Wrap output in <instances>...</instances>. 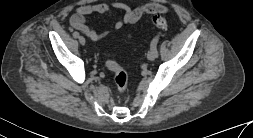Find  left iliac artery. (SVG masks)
Returning a JSON list of instances; mask_svg holds the SVG:
<instances>
[{
	"instance_id": "left-iliac-artery-1",
	"label": "left iliac artery",
	"mask_w": 253,
	"mask_h": 138,
	"mask_svg": "<svg viewBox=\"0 0 253 138\" xmlns=\"http://www.w3.org/2000/svg\"><path fill=\"white\" fill-rule=\"evenodd\" d=\"M158 41H159V36H156L155 38H153V40L151 41V48L156 49ZM157 56H158V53H157Z\"/></svg>"
}]
</instances>
